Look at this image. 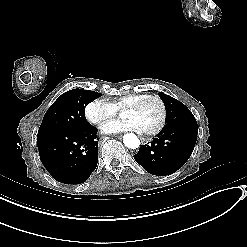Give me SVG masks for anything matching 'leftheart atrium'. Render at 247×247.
I'll list each match as a JSON object with an SVG mask.
<instances>
[{"mask_svg": "<svg viewBox=\"0 0 247 247\" xmlns=\"http://www.w3.org/2000/svg\"><path fill=\"white\" fill-rule=\"evenodd\" d=\"M103 130L108 133H118L127 130L141 131L142 129L135 118H126L104 126Z\"/></svg>", "mask_w": 247, "mask_h": 247, "instance_id": "obj_1", "label": "left heart atrium"}]
</instances>
